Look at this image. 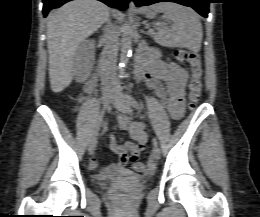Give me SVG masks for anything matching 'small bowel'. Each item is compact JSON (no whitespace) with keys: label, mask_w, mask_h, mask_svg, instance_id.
I'll list each match as a JSON object with an SVG mask.
<instances>
[{"label":"small bowel","mask_w":260,"mask_h":217,"mask_svg":"<svg viewBox=\"0 0 260 217\" xmlns=\"http://www.w3.org/2000/svg\"><path fill=\"white\" fill-rule=\"evenodd\" d=\"M140 66L146 70L142 76L143 82L160 99L172 118L179 119L183 114V96L188 80L187 70L165 61L156 51L144 57ZM119 123L120 127L130 134L133 141L119 145L115 137L110 136L109 146L118 155V160L100 169L97 161L92 159L90 169L99 172V178L124 170L127 162H135L138 154L146 147L147 136L141 123L133 122L125 115H120Z\"/></svg>","instance_id":"small-bowel-1"}]
</instances>
